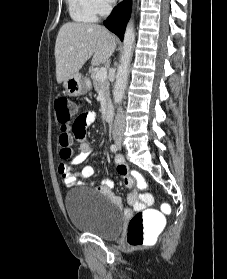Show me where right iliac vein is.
Returning <instances> with one entry per match:
<instances>
[{
  "label": "right iliac vein",
  "instance_id": "right-iliac-vein-1",
  "mask_svg": "<svg viewBox=\"0 0 227 279\" xmlns=\"http://www.w3.org/2000/svg\"><path fill=\"white\" fill-rule=\"evenodd\" d=\"M115 142H116V144L119 145V144L121 143V139H120V138H116V139H115Z\"/></svg>",
  "mask_w": 227,
  "mask_h": 279
}]
</instances>
